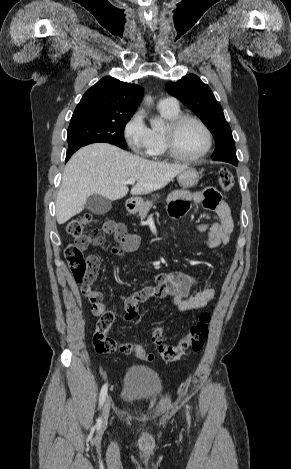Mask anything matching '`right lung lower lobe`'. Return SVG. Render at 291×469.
<instances>
[{"mask_svg":"<svg viewBox=\"0 0 291 469\" xmlns=\"http://www.w3.org/2000/svg\"><path fill=\"white\" fill-rule=\"evenodd\" d=\"M80 147H76V148H71V149H68L67 150V153H66V162L69 160V158L72 156V154L77 151Z\"/></svg>","mask_w":291,"mask_h":469,"instance_id":"1","label":"right lung lower lobe"}]
</instances>
